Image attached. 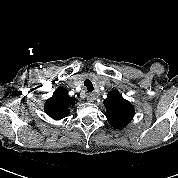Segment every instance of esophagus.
Here are the masks:
<instances>
[{"label":"esophagus","mask_w":178,"mask_h":178,"mask_svg":"<svg viewBox=\"0 0 178 178\" xmlns=\"http://www.w3.org/2000/svg\"><path fill=\"white\" fill-rule=\"evenodd\" d=\"M86 98L89 102H94L96 99L94 94H88Z\"/></svg>","instance_id":"obj_1"}]
</instances>
